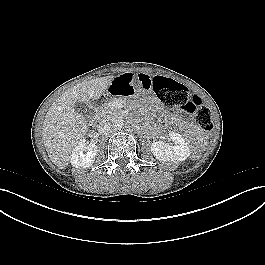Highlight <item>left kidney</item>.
Listing matches in <instances>:
<instances>
[{"instance_id":"5707ae66","label":"left kidney","mask_w":265,"mask_h":265,"mask_svg":"<svg viewBox=\"0 0 265 265\" xmlns=\"http://www.w3.org/2000/svg\"><path fill=\"white\" fill-rule=\"evenodd\" d=\"M170 139L173 144H168L163 141L153 142L151 145V152L159 161L174 163L182 162L189 156V147L187 146L183 137L176 132H170Z\"/></svg>"}]
</instances>
